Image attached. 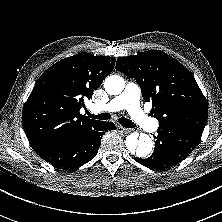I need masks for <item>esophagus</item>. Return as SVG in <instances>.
Instances as JSON below:
<instances>
[{
	"label": "esophagus",
	"instance_id": "1",
	"mask_svg": "<svg viewBox=\"0 0 222 222\" xmlns=\"http://www.w3.org/2000/svg\"><path fill=\"white\" fill-rule=\"evenodd\" d=\"M117 130L119 132H122V133H125V134L130 133L132 131V129H128V128H125V127L120 126V125L117 126Z\"/></svg>",
	"mask_w": 222,
	"mask_h": 222
}]
</instances>
